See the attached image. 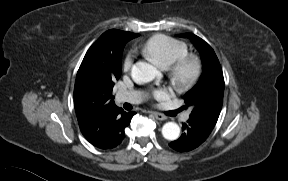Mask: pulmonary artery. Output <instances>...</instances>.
Instances as JSON below:
<instances>
[{
    "label": "pulmonary artery",
    "mask_w": 288,
    "mask_h": 181,
    "mask_svg": "<svg viewBox=\"0 0 288 181\" xmlns=\"http://www.w3.org/2000/svg\"><path fill=\"white\" fill-rule=\"evenodd\" d=\"M142 94L138 91H129V90H124V91H119L116 94V100L117 102H127V103H139L142 101ZM189 118V115L186 114L184 116V120H187Z\"/></svg>",
    "instance_id": "1"
}]
</instances>
